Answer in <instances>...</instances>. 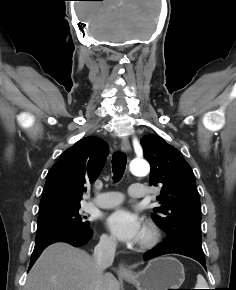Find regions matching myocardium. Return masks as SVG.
Segmentation results:
<instances>
[{
    "mask_svg": "<svg viewBox=\"0 0 236 290\" xmlns=\"http://www.w3.org/2000/svg\"><path fill=\"white\" fill-rule=\"evenodd\" d=\"M159 237L160 234L158 229L152 224L147 225L140 238L139 248L149 249L154 247L157 244Z\"/></svg>",
    "mask_w": 236,
    "mask_h": 290,
    "instance_id": "1",
    "label": "myocardium"
}]
</instances>
